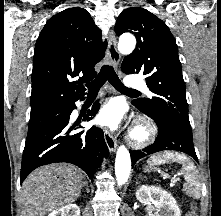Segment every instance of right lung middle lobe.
Returning a JSON list of instances; mask_svg holds the SVG:
<instances>
[{"instance_id": "1", "label": "right lung middle lobe", "mask_w": 221, "mask_h": 216, "mask_svg": "<svg viewBox=\"0 0 221 216\" xmlns=\"http://www.w3.org/2000/svg\"><path fill=\"white\" fill-rule=\"evenodd\" d=\"M59 108L47 110L30 116L27 139L34 137L58 114Z\"/></svg>"}]
</instances>
